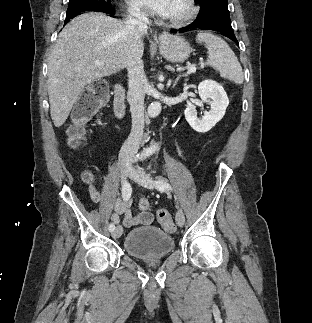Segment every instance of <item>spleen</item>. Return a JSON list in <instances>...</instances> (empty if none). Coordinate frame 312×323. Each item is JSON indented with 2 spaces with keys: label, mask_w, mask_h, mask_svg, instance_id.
Listing matches in <instances>:
<instances>
[{
  "label": "spleen",
  "mask_w": 312,
  "mask_h": 323,
  "mask_svg": "<svg viewBox=\"0 0 312 323\" xmlns=\"http://www.w3.org/2000/svg\"><path fill=\"white\" fill-rule=\"evenodd\" d=\"M196 42L205 44L209 54L208 64L220 72L222 78H228L235 84H243L244 76L242 68L231 48L225 40L212 34L210 30H199Z\"/></svg>",
  "instance_id": "obj_1"
}]
</instances>
